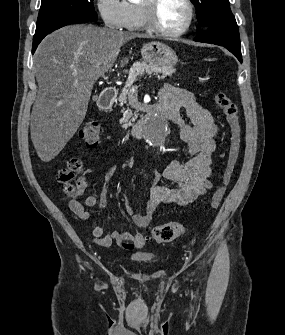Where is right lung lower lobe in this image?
Here are the masks:
<instances>
[{"mask_svg": "<svg viewBox=\"0 0 285 335\" xmlns=\"http://www.w3.org/2000/svg\"><path fill=\"white\" fill-rule=\"evenodd\" d=\"M90 20L85 18H77V17H66L55 20L53 22L48 23L47 25L36 28V32L33 38V46H32V54L35 52L38 44L42 41V39L52 31L59 29L63 26L73 24V23H86Z\"/></svg>", "mask_w": 285, "mask_h": 335, "instance_id": "obj_1", "label": "right lung lower lobe"}]
</instances>
